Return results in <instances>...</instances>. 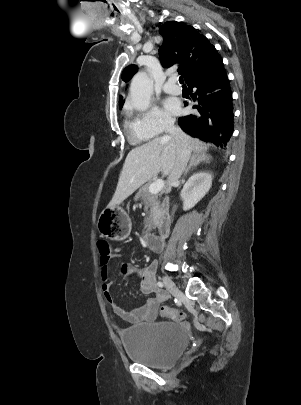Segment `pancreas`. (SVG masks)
I'll return each instance as SVG.
<instances>
[{
  "instance_id": "pancreas-1",
  "label": "pancreas",
  "mask_w": 301,
  "mask_h": 405,
  "mask_svg": "<svg viewBox=\"0 0 301 405\" xmlns=\"http://www.w3.org/2000/svg\"><path fill=\"white\" fill-rule=\"evenodd\" d=\"M149 186L150 184L143 185L136 195V198L141 200L147 213V216L144 219V229L142 234H147L152 231L159 215V195L151 193L149 191Z\"/></svg>"
}]
</instances>
